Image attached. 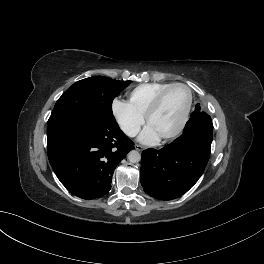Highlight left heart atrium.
Listing matches in <instances>:
<instances>
[{
  "label": "left heart atrium",
  "instance_id": "39dd6f15",
  "mask_svg": "<svg viewBox=\"0 0 264 264\" xmlns=\"http://www.w3.org/2000/svg\"><path fill=\"white\" fill-rule=\"evenodd\" d=\"M159 135L154 131L151 126L145 127L139 136V140L145 144H153L158 141Z\"/></svg>",
  "mask_w": 264,
  "mask_h": 264
}]
</instances>
